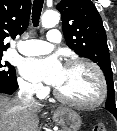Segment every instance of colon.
<instances>
[{
  "instance_id": "1",
  "label": "colon",
  "mask_w": 117,
  "mask_h": 131,
  "mask_svg": "<svg viewBox=\"0 0 117 131\" xmlns=\"http://www.w3.org/2000/svg\"><path fill=\"white\" fill-rule=\"evenodd\" d=\"M91 131H108L106 126L103 124H97L95 125Z\"/></svg>"
}]
</instances>
